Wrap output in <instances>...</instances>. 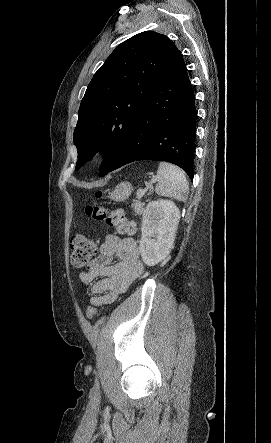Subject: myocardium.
<instances>
[{
	"instance_id": "f54148a6",
	"label": "myocardium",
	"mask_w": 271,
	"mask_h": 443,
	"mask_svg": "<svg viewBox=\"0 0 271 443\" xmlns=\"http://www.w3.org/2000/svg\"><path fill=\"white\" fill-rule=\"evenodd\" d=\"M106 156V151L103 148H96L92 150L88 156V162L91 165H97L101 163Z\"/></svg>"
}]
</instances>
